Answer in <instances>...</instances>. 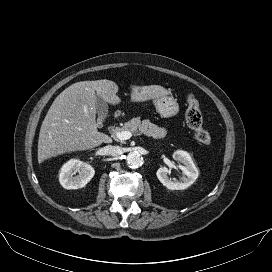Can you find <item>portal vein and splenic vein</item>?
<instances>
[{"label":"portal vein and splenic vein","mask_w":272,"mask_h":272,"mask_svg":"<svg viewBox=\"0 0 272 272\" xmlns=\"http://www.w3.org/2000/svg\"><path fill=\"white\" fill-rule=\"evenodd\" d=\"M115 136L117 139L123 141L130 139L133 134L130 131H115Z\"/></svg>","instance_id":"18ae733b"}]
</instances>
